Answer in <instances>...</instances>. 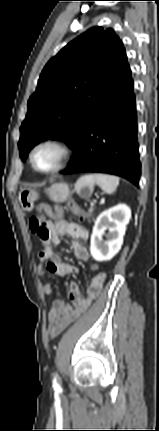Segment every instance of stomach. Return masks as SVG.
<instances>
[{
	"instance_id": "0dacf381",
	"label": "stomach",
	"mask_w": 159,
	"mask_h": 431,
	"mask_svg": "<svg viewBox=\"0 0 159 431\" xmlns=\"http://www.w3.org/2000/svg\"><path fill=\"white\" fill-rule=\"evenodd\" d=\"M92 185L82 183L80 179L77 181L75 188L71 191L66 183L60 182L53 184L47 189V194L50 200L56 203L65 202L71 195L76 192L82 198L88 199L92 194ZM39 194L34 189L29 187L20 188L18 192V201L24 211H32L34 202L38 199Z\"/></svg>"
}]
</instances>
